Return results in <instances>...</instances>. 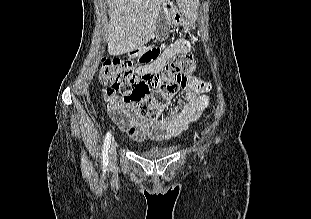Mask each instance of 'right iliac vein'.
Instances as JSON below:
<instances>
[{
    "mask_svg": "<svg viewBox=\"0 0 311 219\" xmlns=\"http://www.w3.org/2000/svg\"><path fill=\"white\" fill-rule=\"evenodd\" d=\"M116 146H117V143L113 139L112 142H111L110 149H109V160H110V163H114L115 160H116Z\"/></svg>",
    "mask_w": 311,
    "mask_h": 219,
    "instance_id": "63e3f726",
    "label": "right iliac vein"
}]
</instances>
